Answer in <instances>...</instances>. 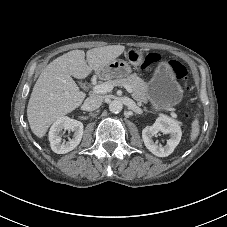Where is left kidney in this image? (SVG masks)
Returning a JSON list of instances; mask_svg holds the SVG:
<instances>
[{"label":"left kidney","instance_id":"1","mask_svg":"<svg viewBox=\"0 0 227 227\" xmlns=\"http://www.w3.org/2000/svg\"><path fill=\"white\" fill-rule=\"evenodd\" d=\"M158 132L170 134L171 138L167 140L165 146L158 145L153 141V136ZM182 136L180 125L177 121L168 117H159L152 126H147L142 130V139L146 148L158 157L169 156L179 144Z\"/></svg>","mask_w":227,"mask_h":227}]
</instances>
